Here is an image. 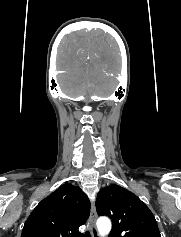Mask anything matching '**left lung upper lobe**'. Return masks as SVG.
<instances>
[{"label":"left lung upper lobe","instance_id":"1","mask_svg":"<svg viewBox=\"0 0 181 237\" xmlns=\"http://www.w3.org/2000/svg\"><path fill=\"white\" fill-rule=\"evenodd\" d=\"M96 210L112 219L109 237H161L150 209L132 192L112 184L97 196Z\"/></svg>","mask_w":181,"mask_h":237}]
</instances>
